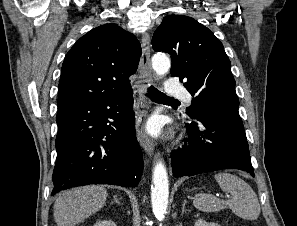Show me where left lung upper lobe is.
Returning a JSON list of instances; mask_svg holds the SVG:
<instances>
[{
	"mask_svg": "<svg viewBox=\"0 0 297 226\" xmlns=\"http://www.w3.org/2000/svg\"><path fill=\"white\" fill-rule=\"evenodd\" d=\"M152 46L171 54V76L179 77L194 97L186 109L190 118L209 110L238 112L230 60L210 29L191 17L166 16L153 35Z\"/></svg>",
	"mask_w": 297,
	"mask_h": 226,
	"instance_id": "left-lung-upper-lobe-1",
	"label": "left lung upper lobe"
}]
</instances>
